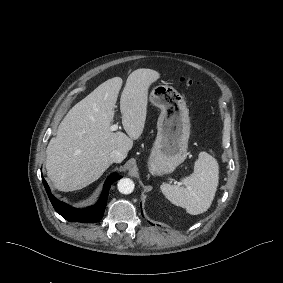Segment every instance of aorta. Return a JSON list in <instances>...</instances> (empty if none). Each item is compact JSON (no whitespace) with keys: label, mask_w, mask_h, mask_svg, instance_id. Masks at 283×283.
I'll return each instance as SVG.
<instances>
[{"label":"aorta","mask_w":283,"mask_h":283,"mask_svg":"<svg viewBox=\"0 0 283 283\" xmlns=\"http://www.w3.org/2000/svg\"><path fill=\"white\" fill-rule=\"evenodd\" d=\"M117 187L120 193L130 194L133 192L135 184L129 178H122L118 181Z\"/></svg>","instance_id":"1"}]
</instances>
